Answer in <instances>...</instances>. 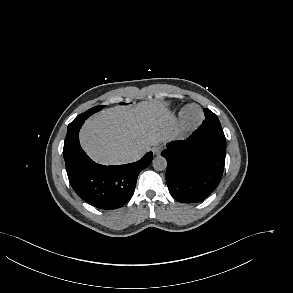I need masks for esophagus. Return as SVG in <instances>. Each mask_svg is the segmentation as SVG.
I'll use <instances>...</instances> for the list:
<instances>
[{"label":"esophagus","mask_w":293,"mask_h":293,"mask_svg":"<svg viewBox=\"0 0 293 293\" xmlns=\"http://www.w3.org/2000/svg\"><path fill=\"white\" fill-rule=\"evenodd\" d=\"M162 150H163V146L162 145H157V146H155V147L152 148L153 154L154 155H157V156L161 154Z\"/></svg>","instance_id":"1"}]
</instances>
